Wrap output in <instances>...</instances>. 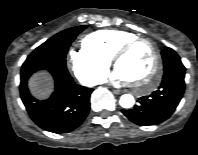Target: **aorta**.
Instances as JSON below:
<instances>
[{"label":"aorta","instance_id":"762f6f07","mask_svg":"<svg viewBox=\"0 0 198 155\" xmlns=\"http://www.w3.org/2000/svg\"><path fill=\"white\" fill-rule=\"evenodd\" d=\"M119 103L120 105L123 107V108H131L133 107L134 103H135V100H134V97L130 94H124L120 97V100H119Z\"/></svg>","mask_w":198,"mask_h":155}]
</instances>
